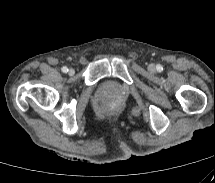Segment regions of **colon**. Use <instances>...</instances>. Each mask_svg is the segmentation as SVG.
I'll list each match as a JSON object with an SVG mask.
<instances>
[{
	"instance_id": "5ec220e1",
	"label": "colon",
	"mask_w": 215,
	"mask_h": 183,
	"mask_svg": "<svg viewBox=\"0 0 215 183\" xmlns=\"http://www.w3.org/2000/svg\"><path fill=\"white\" fill-rule=\"evenodd\" d=\"M107 109H108V110H113L114 107L110 105V106L107 107Z\"/></svg>"
}]
</instances>
